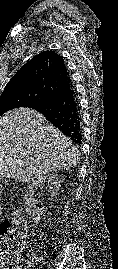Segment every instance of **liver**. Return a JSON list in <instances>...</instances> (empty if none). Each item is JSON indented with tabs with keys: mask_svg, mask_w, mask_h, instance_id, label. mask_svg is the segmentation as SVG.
Returning a JSON list of instances; mask_svg holds the SVG:
<instances>
[{
	"mask_svg": "<svg viewBox=\"0 0 118 269\" xmlns=\"http://www.w3.org/2000/svg\"><path fill=\"white\" fill-rule=\"evenodd\" d=\"M77 147L39 112L17 108L0 117V177L31 182L57 170H69Z\"/></svg>",
	"mask_w": 118,
	"mask_h": 269,
	"instance_id": "liver-1",
	"label": "liver"
}]
</instances>
